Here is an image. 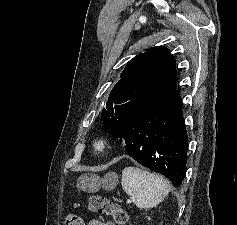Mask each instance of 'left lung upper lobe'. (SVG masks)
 I'll return each instance as SVG.
<instances>
[{"label":"left lung upper lobe","mask_w":237,"mask_h":225,"mask_svg":"<svg viewBox=\"0 0 237 225\" xmlns=\"http://www.w3.org/2000/svg\"><path fill=\"white\" fill-rule=\"evenodd\" d=\"M176 86L175 58L166 47L150 48L127 63L101 118L114 136L136 111L176 95Z\"/></svg>","instance_id":"5c2ea615"}]
</instances>
